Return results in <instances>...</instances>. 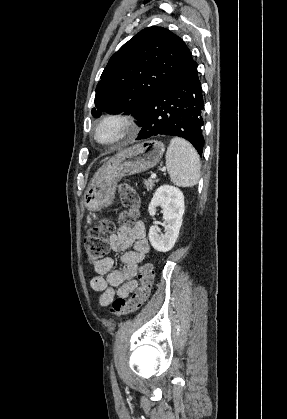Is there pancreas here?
Returning <instances> with one entry per match:
<instances>
[{"label":"pancreas","instance_id":"cf45deb5","mask_svg":"<svg viewBox=\"0 0 287 419\" xmlns=\"http://www.w3.org/2000/svg\"><path fill=\"white\" fill-rule=\"evenodd\" d=\"M156 182L157 180L148 179V180H145L144 185L148 191H151Z\"/></svg>","mask_w":287,"mask_h":419}]
</instances>
